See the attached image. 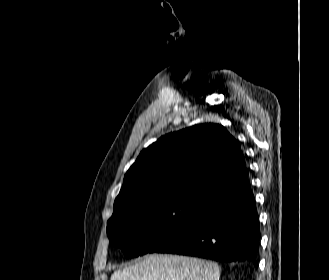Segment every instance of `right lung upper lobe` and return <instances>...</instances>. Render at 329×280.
Returning a JSON list of instances; mask_svg holds the SVG:
<instances>
[{"label":"right lung upper lobe","mask_w":329,"mask_h":280,"mask_svg":"<svg viewBox=\"0 0 329 280\" xmlns=\"http://www.w3.org/2000/svg\"><path fill=\"white\" fill-rule=\"evenodd\" d=\"M245 167L239 142L220 124L195 125L143 149L124 177L114 204L173 196L202 197Z\"/></svg>","instance_id":"cb5924a9"}]
</instances>
